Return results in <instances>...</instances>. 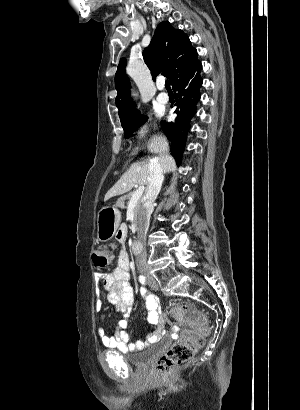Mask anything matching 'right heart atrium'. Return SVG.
<instances>
[{
    "label": "right heart atrium",
    "instance_id": "right-heart-atrium-1",
    "mask_svg": "<svg viewBox=\"0 0 300 410\" xmlns=\"http://www.w3.org/2000/svg\"><path fill=\"white\" fill-rule=\"evenodd\" d=\"M149 130V124L147 121H145L144 123H142L137 131V137L138 139H142L146 136V134L148 133Z\"/></svg>",
    "mask_w": 300,
    "mask_h": 410
}]
</instances>
